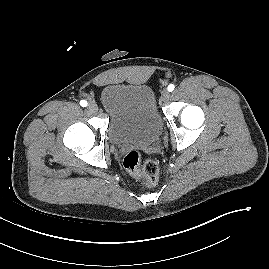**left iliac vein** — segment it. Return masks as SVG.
Listing matches in <instances>:
<instances>
[{
	"label": "left iliac vein",
	"instance_id": "left-iliac-vein-1",
	"mask_svg": "<svg viewBox=\"0 0 269 269\" xmlns=\"http://www.w3.org/2000/svg\"><path fill=\"white\" fill-rule=\"evenodd\" d=\"M170 98V93L168 92V90L164 89L161 93V99L166 102L168 101Z\"/></svg>",
	"mask_w": 269,
	"mask_h": 269
}]
</instances>
